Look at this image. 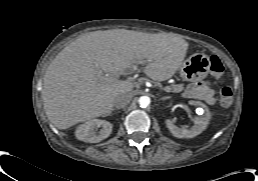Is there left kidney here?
<instances>
[{
	"label": "left kidney",
	"mask_w": 258,
	"mask_h": 181,
	"mask_svg": "<svg viewBox=\"0 0 258 181\" xmlns=\"http://www.w3.org/2000/svg\"><path fill=\"white\" fill-rule=\"evenodd\" d=\"M191 105L199 106L197 108L198 114L200 115L199 117H195L193 119L194 125L189 128H179L176 125H174L170 120H166V126L170 130V132L177 138H193L200 133H202L210 119H211V113L209 112L208 108L206 105H204L200 101H190L189 102Z\"/></svg>",
	"instance_id": "left-kidney-1"
}]
</instances>
